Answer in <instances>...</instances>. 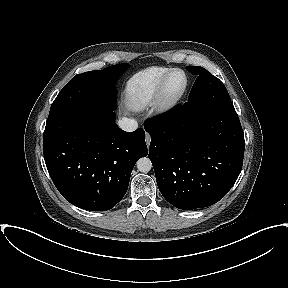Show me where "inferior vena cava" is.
<instances>
[{"instance_id":"1","label":"inferior vena cava","mask_w":288,"mask_h":288,"mask_svg":"<svg viewBox=\"0 0 288 288\" xmlns=\"http://www.w3.org/2000/svg\"><path fill=\"white\" fill-rule=\"evenodd\" d=\"M118 126L124 131L131 132L138 128V123L134 119L122 118L118 121Z\"/></svg>"}]
</instances>
